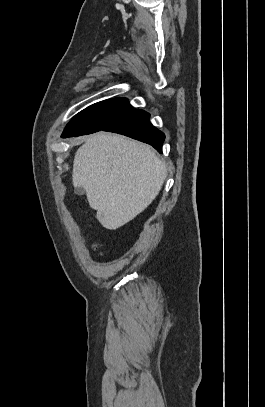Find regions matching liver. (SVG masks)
I'll use <instances>...</instances> for the list:
<instances>
[{
  "label": "liver",
  "instance_id": "6515ba94",
  "mask_svg": "<svg viewBox=\"0 0 265 407\" xmlns=\"http://www.w3.org/2000/svg\"><path fill=\"white\" fill-rule=\"evenodd\" d=\"M166 174L164 164L149 145L99 132L77 150L72 183L86 191L101 225L116 230L152 203Z\"/></svg>",
  "mask_w": 265,
  "mask_h": 407
}]
</instances>
